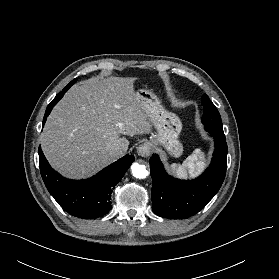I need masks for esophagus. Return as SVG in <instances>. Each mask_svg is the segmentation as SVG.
<instances>
[{
	"label": "esophagus",
	"mask_w": 279,
	"mask_h": 279,
	"mask_svg": "<svg viewBox=\"0 0 279 279\" xmlns=\"http://www.w3.org/2000/svg\"><path fill=\"white\" fill-rule=\"evenodd\" d=\"M153 146L150 142H144L137 148V154L141 157H148L152 152Z\"/></svg>",
	"instance_id": "34e87169"
}]
</instances>
